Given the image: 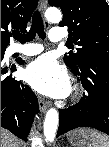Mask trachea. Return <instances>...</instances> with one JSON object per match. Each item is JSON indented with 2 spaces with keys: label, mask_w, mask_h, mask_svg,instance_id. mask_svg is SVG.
<instances>
[{
  "label": "trachea",
  "mask_w": 109,
  "mask_h": 147,
  "mask_svg": "<svg viewBox=\"0 0 109 147\" xmlns=\"http://www.w3.org/2000/svg\"><path fill=\"white\" fill-rule=\"evenodd\" d=\"M36 34H38L39 37L43 40L46 38L43 21L38 10H36L33 14L30 31L27 34H15L14 38L23 44L25 42L32 41L35 38Z\"/></svg>",
  "instance_id": "trachea-1"
}]
</instances>
